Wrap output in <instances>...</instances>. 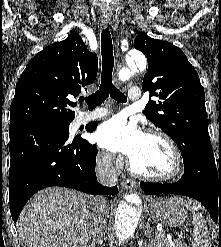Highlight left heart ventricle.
Returning <instances> with one entry per match:
<instances>
[{"instance_id": "obj_1", "label": "left heart ventricle", "mask_w": 221, "mask_h": 247, "mask_svg": "<svg viewBox=\"0 0 221 247\" xmlns=\"http://www.w3.org/2000/svg\"><path fill=\"white\" fill-rule=\"evenodd\" d=\"M130 160L137 171L150 175H166L174 168L171 149L154 136L145 135L142 145Z\"/></svg>"}]
</instances>
